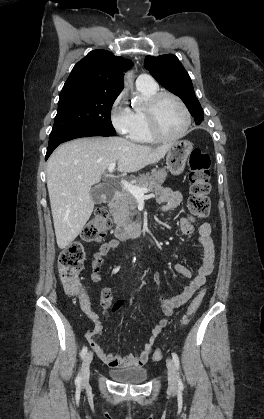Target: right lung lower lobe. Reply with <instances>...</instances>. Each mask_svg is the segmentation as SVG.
<instances>
[{
    "instance_id": "right-lung-lower-lobe-1",
    "label": "right lung lower lobe",
    "mask_w": 264,
    "mask_h": 419,
    "mask_svg": "<svg viewBox=\"0 0 264 419\" xmlns=\"http://www.w3.org/2000/svg\"><path fill=\"white\" fill-rule=\"evenodd\" d=\"M116 133H109V132H105V131H98V130H81V131H76L73 133H70L66 136H64L62 139L58 140L57 142L51 143L49 144V147L47 148V153H46V160L48 159V157L50 156V154L53 152V150L60 144L75 138H80V137H91V136H115Z\"/></svg>"
}]
</instances>
